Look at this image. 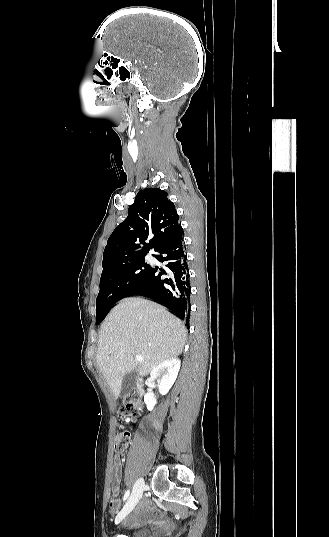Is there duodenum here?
I'll return each mask as SVG.
<instances>
[{"label": "duodenum", "mask_w": 329, "mask_h": 537, "mask_svg": "<svg viewBox=\"0 0 329 537\" xmlns=\"http://www.w3.org/2000/svg\"><path fill=\"white\" fill-rule=\"evenodd\" d=\"M136 387L138 391V395L141 397L143 395V382L141 379L136 380Z\"/></svg>", "instance_id": "duodenum-1"}]
</instances>
